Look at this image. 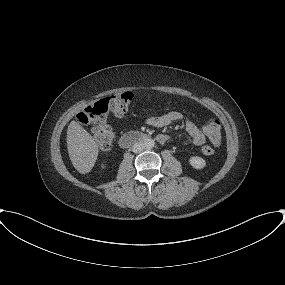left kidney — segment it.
<instances>
[{
    "instance_id": "obj_1",
    "label": "left kidney",
    "mask_w": 285,
    "mask_h": 285,
    "mask_svg": "<svg viewBox=\"0 0 285 285\" xmlns=\"http://www.w3.org/2000/svg\"><path fill=\"white\" fill-rule=\"evenodd\" d=\"M190 165L195 169H203L206 166V161L198 156H193L189 159Z\"/></svg>"
}]
</instances>
